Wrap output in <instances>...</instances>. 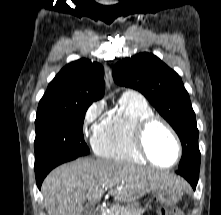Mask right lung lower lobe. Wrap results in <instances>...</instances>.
<instances>
[{"instance_id":"right-lung-lower-lobe-1","label":"right lung lower lobe","mask_w":221,"mask_h":215,"mask_svg":"<svg viewBox=\"0 0 221 215\" xmlns=\"http://www.w3.org/2000/svg\"><path fill=\"white\" fill-rule=\"evenodd\" d=\"M78 157H81V156H69V157L61 158L59 160L52 161L43 167L35 168L36 182H37L38 188L39 189L41 188V184L44 178L53 168H55L56 166L62 163L74 160Z\"/></svg>"}]
</instances>
